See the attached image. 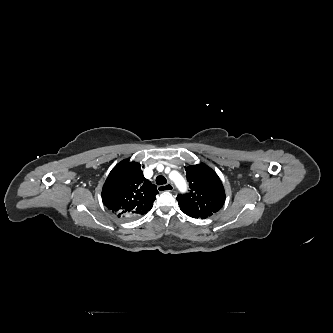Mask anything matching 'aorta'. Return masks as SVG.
<instances>
[{"instance_id": "1", "label": "aorta", "mask_w": 333, "mask_h": 333, "mask_svg": "<svg viewBox=\"0 0 333 333\" xmlns=\"http://www.w3.org/2000/svg\"><path fill=\"white\" fill-rule=\"evenodd\" d=\"M169 177L175 182L176 186L181 192H184L186 190L187 188L186 180L178 172L172 171Z\"/></svg>"}]
</instances>
